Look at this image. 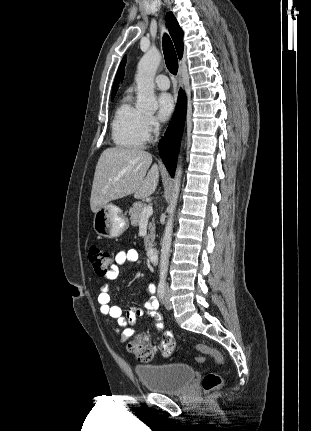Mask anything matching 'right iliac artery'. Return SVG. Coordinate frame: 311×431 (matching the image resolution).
<instances>
[{"label": "right iliac artery", "mask_w": 311, "mask_h": 431, "mask_svg": "<svg viewBox=\"0 0 311 431\" xmlns=\"http://www.w3.org/2000/svg\"><path fill=\"white\" fill-rule=\"evenodd\" d=\"M165 292H166L165 284L160 283L158 285L157 295H158V298L160 299L162 304H164Z\"/></svg>", "instance_id": "82829eb1"}]
</instances>
